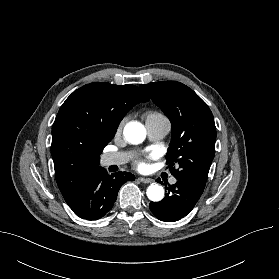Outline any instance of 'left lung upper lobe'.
I'll use <instances>...</instances> for the list:
<instances>
[{"instance_id": "5c2ea615", "label": "left lung upper lobe", "mask_w": 279, "mask_h": 279, "mask_svg": "<svg viewBox=\"0 0 279 279\" xmlns=\"http://www.w3.org/2000/svg\"><path fill=\"white\" fill-rule=\"evenodd\" d=\"M140 87L171 121V142L166 156L171 174L177 180L205 188L215 155L216 128L211 110L180 82L162 81Z\"/></svg>"}]
</instances>
